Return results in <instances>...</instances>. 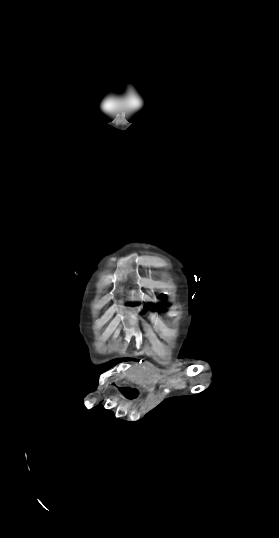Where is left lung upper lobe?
I'll return each mask as SVG.
<instances>
[{
  "instance_id": "obj_1",
  "label": "left lung upper lobe",
  "mask_w": 279,
  "mask_h": 538,
  "mask_svg": "<svg viewBox=\"0 0 279 538\" xmlns=\"http://www.w3.org/2000/svg\"><path fill=\"white\" fill-rule=\"evenodd\" d=\"M151 306H152V305H151V304H149V305H148L147 307H151Z\"/></svg>"
}]
</instances>
